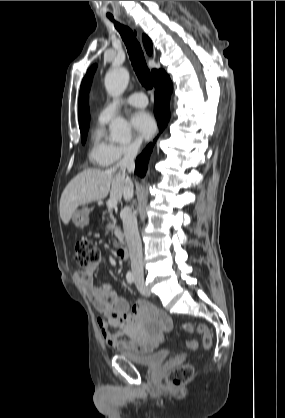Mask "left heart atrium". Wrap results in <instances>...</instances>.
I'll return each instance as SVG.
<instances>
[{"label":"left heart atrium","mask_w":285,"mask_h":418,"mask_svg":"<svg viewBox=\"0 0 285 418\" xmlns=\"http://www.w3.org/2000/svg\"><path fill=\"white\" fill-rule=\"evenodd\" d=\"M131 123L135 131L143 139H149L156 131V122L153 116L144 110L135 112L132 115Z\"/></svg>","instance_id":"1"}]
</instances>
